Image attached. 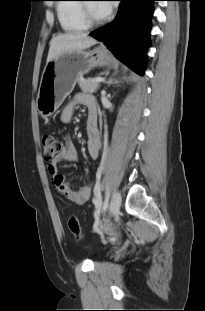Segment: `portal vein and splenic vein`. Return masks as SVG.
I'll return each instance as SVG.
<instances>
[{
  "label": "portal vein and splenic vein",
  "instance_id": "portal-vein-and-splenic-vein-1",
  "mask_svg": "<svg viewBox=\"0 0 205 311\" xmlns=\"http://www.w3.org/2000/svg\"><path fill=\"white\" fill-rule=\"evenodd\" d=\"M94 81L97 82V83H100V82H103V81H104V78H102V77H97V78L94 79Z\"/></svg>",
  "mask_w": 205,
  "mask_h": 311
}]
</instances>
